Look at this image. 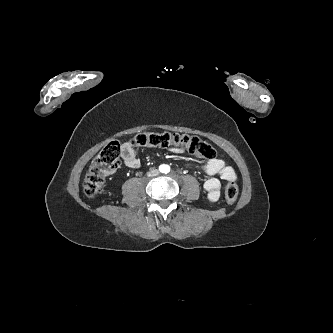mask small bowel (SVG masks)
<instances>
[{
  "instance_id": "c3829d8e",
  "label": "small bowel",
  "mask_w": 333,
  "mask_h": 333,
  "mask_svg": "<svg viewBox=\"0 0 333 333\" xmlns=\"http://www.w3.org/2000/svg\"><path fill=\"white\" fill-rule=\"evenodd\" d=\"M171 151L175 154L183 153L182 148H172ZM121 157L124 164L129 168L138 169L141 166L140 159L137 157L129 142L122 144ZM196 167L210 176L204 183V189L210 203H216L220 198L221 184L219 179L225 181H235L236 179L234 169L226 165L225 162L219 158H213L205 163L196 165Z\"/></svg>"
}]
</instances>
